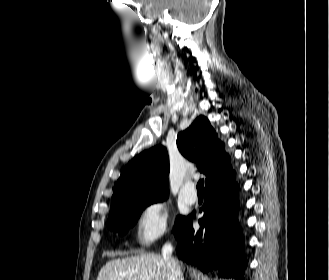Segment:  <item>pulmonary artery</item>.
Wrapping results in <instances>:
<instances>
[{"mask_svg": "<svg viewBox=\"0 0 329 280\" xmlns=\"http://www.w3.org/2000/svg\"><path fill=\"white\" fill-rule=\"evenodd\" d=\"M181 197L188 204H194L197 201V193L193 183H188L181 189Z\"/></svg>", "mask_w": 329, "mask_h": 280, "instance_id": "1", "label": "pulmonary artery"}]
</instances>
